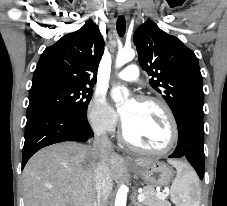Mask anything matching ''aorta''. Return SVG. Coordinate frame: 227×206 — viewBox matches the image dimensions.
Listing matches in <instances>:
<instances>
[{
	"label": "aorta",
	"mask_w": 227,
	"mask_h": 206,
	"mask_svg": "<svg viewBox=\"0 0 227 206\" xmlns=\"http://www.w3.org/2000/svg\"><path fill=\"white\" fill-rule=\"evenodd\" d=\"M135 52L133 49H122L118 52L116 57V68H120L126 63L133 60ZM129 96V91L126 87L115 86L111 90V98L117 104H121L124 98ZM127 191L124 185L120 186L115 198V206H126Z\"/></svg>",
	"instance_id": "obj_1"
}]
</instances>
